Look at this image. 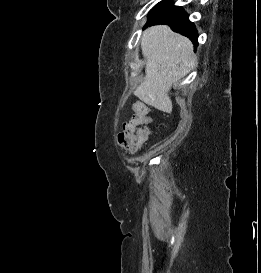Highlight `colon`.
Returning a JSON list of instances; mask_svg holds the SVG:
<instances>
[{"instance_id":"colon-1","label":"colon","mask_w":261,"mask_h":273,"mask_svg":"<svg viewBox=\"0 0 261 273\" xmlns=\"http://www.w3.org/2000/svg\"><path fill=\"white\" fill-rule=\"evenodd\" d=\"M133 117L127 126L118 134V143L125 150L137 151L150 135L148 125L152 123L149 108L142 102L133 104Z\"/></svg>"}]
</instances>
